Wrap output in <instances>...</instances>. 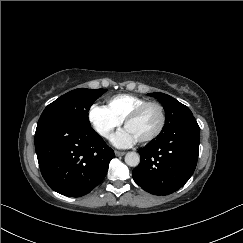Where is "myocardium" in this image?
Returning <instances> with one entry per match:
<instances>
[{
	"label": "myocardium",
	"instance_id": "myocardium-1",
	"mask_svg": "<svg viewBox=\"0 0 243 243\" xmlns=\"http://www.w3.org/2000/svg\"><path fill=\"white\" fill-rule=\"evenodd\" d=\"M151 106H155L158 108V110L160 112V124H159L158 128L151 135L147 136L146 138H144L142 140L137 141L140 144H147V143L155 140L163 132L165 125H166V120H167L166 110H165L164 106L160 102L149 101V102H146V103L138 106L137 108H135L124 119V125L126 127L130 122L137 119L144 112L145 109H147L148 107H151Z\"/></svg>",
	"mask_w": 243,
	"mask_h": 243
}]
</instances>
